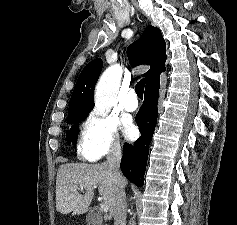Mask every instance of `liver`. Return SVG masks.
Here are the masks:
<instances>
[{
	"label": "liver",
	"instance_id": "obj_1",
	"mask_svg": "<svg viewBox=\"0 0 237 225\" xmlns=\"http://www.w3.org/2000/svg\"><path fill=\"white\" fill-rule=\"evenodd\" d=\"M81 186H84V194L78 192ZM97 186L110 211L108 217L110 220L116 203V184L107 164H62L58 169L56 180V210L61 214L86 213Z\"/></svg>",
	"mask_w": 237,
	"mask_h": 225
}]
</instances>
